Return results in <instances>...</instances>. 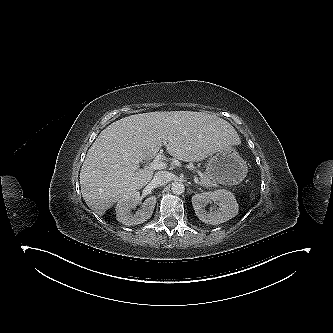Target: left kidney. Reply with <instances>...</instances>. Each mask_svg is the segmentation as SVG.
<instances>
[{"label": "left kidney", "instance_id": "5707ae66", "mask_svg": "<svg viewBox=\"0 0 333 333\" xmlns=\"http://www.w3.org/2000/svg\"><path fill=\"white\" fill-rule=\"evenodd\" d=\"M214 202L217 209L205 210V206ZM192 205L197 217L204 223L218 225L232 219L238 214L239 206L233 193L220 189L203 192L192 196Z\"/></svg>", "mask_w": 333, "mask_h": 333}]
</instances>
